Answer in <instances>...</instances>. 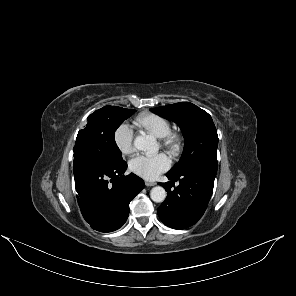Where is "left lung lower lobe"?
Here are the masks:
<instances>
[{
  "label": "left lung lower lobe",
  "instance_id": "1",
  "mask_svg": "<svg viewBox=\"0 0 296 296\" xmlns=\"http://www.w3.org/2000/svg\"><path fill=\"white\" fill-rule=\"evenodd\" d=\"M216 173V164L196 165L174 175L167 173L171 181L159 183L167 191V198L157 209L161 221L173 229H184L195 224L207 208ZM175 181L180 184L171 190Z\"/></svg>",
  "mask_w": 296,
  "mask_h": 296
}]
</instances>
